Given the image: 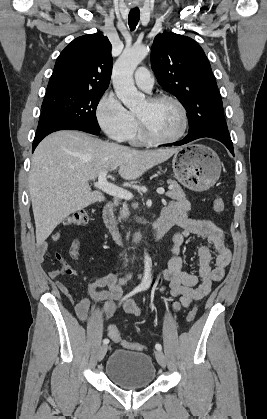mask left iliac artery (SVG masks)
<instances>
[{
    "instance_id": "44dca946",
    "label": "left iliac artery",
    "mask_w": 267,
    "mask_h": 419,
    "mask_svg": "<svg viewBox=\"0 0 267 419\" xmlns=\"http://www.w3.org/2000/svg\"><path fill=\"white\" fill-rule=\"evenodd\" d=\"M155 348L157 349V350H162V346H161V344H159V343H157L156 345H155Z\"/></svg>"
}]
</instances>
